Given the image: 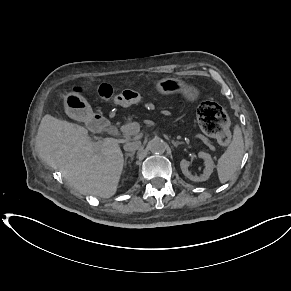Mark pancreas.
<instances>
[{
    "instance_id": "pancreas-1",
    "label": "pancreas",
    "mask_w": 291,
    "mask_h": 291,
    "mask_svg": "<svg viewBox=\"0 0 291 291\" xmlns=\"http://www.w3.org/2000/svg\"><path fill=\"white\" fill-rule=\"evenodd\" d=\"M128 120H129V121H131V120H132V118H129Z\"/></svg>"
}]
</instances>
